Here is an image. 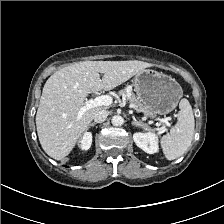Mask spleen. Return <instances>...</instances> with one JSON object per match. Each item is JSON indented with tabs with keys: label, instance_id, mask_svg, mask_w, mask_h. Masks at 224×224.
<instances>
[{
	"label": "spleen",
	"instance_id": "3e777b00",
	"mask_svg": "<svg viewBox=\"0 0 224 224\" xmlns=\"http://www.w3.org/2000/svg\"><path fill=\"white\" fill-rule=\"evenodd\" d=\"M177 123L161 138V147L168 160L182 156L190 146L194 135V115L187 99L179 103Z\"/></svg>",
	"mask_w": 224,
	"mask_h": 224
}]
</instances>
